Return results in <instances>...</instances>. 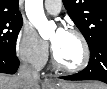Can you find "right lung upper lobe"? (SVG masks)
<instances>
[{
  "mask_svg": "<svg viewBox=\"0 0 107 89\" xmlns=\"http://www.w3.org/2000/svg\"><path fill=\"white\" fill-rule=\"evenodd\" d=\"M0 16L22 17L18 0H0Z\"/></svg>",
  "mask_w": 107,
  "mask_h": 89,
  "instance_id": "right-lung-upper-lobe-1",
  "label": "right lung upper lobe"
}]
</instances>
